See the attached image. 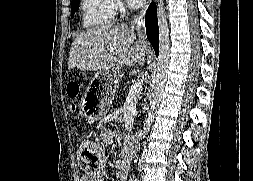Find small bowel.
I'll list each match as a JSON object with an SVG mask.
<instances>
[{
	"mask_svg": "<svg viewBox=\"0 0 253 181\" xmlns=\"http://www.w3.org/2000/svg\"><path fill=\"white\" fill-rule=\"evenodd\" d=\"M101 137L106 144H112L115 137V132L110 128H104L101 132ZM130 152L128 148H125L123 157L114 163L115 176L117 181H127L130 171ZM103 174H97L91 177H83L81 181H102Z\"/></svg>",
	"mask_w": 253,
	"mask_h": 181,
	"instance_id": "1",
	"label": "small bowel"
}]
</instances>
